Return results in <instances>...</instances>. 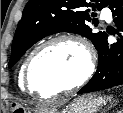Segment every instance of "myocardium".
Returning a JSON list of instances; mask_svg holds the SVG:
<instances>
[{"label":"myocardium","mask_w":123,"mask_h":113,"mask_svg":"<svg viewBox=\"0 0 123 113\" xmlns=\"http://www.w3.org/2000/svg\"><path fill=\"white\" fill-rule=\"evenodd\" d=\"M62 41L73 42L77 44L83 50L86 56V69L84 73L82 74V76L71 85L64 88L56 89L54 91H50L46 94L39 93L34 89L32 81H31V68H32L33 62L36 59L37 55L41 51H43L45 48ZM95 68H96L95 56L89 42L85 38H83L82 36L78 34H60L38 45L28 56L23 68L24 87L25 89L28 90L29 93L35 94L40 98H51L57 94L69 93L77 89L78 87L82 86L93 76L95 72Z\"/></svg>","instance_id":"myocardium-1"}]
</instances>
